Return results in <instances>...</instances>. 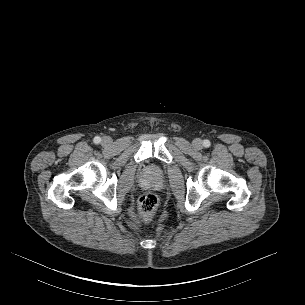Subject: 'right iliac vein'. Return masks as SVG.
<instances>
[{"label":"right iliac vein","instance_id":"right-iliac-vein-1","mask_svg":"<svg viewBox=\"0 0 305 305\" xmlns=\"http://www.w3.org/2000/svg\"><path fill=\"white\" fill-rule=\"evenodd\" d=\"M102 143H103L104 145H109V144L111 143V139H110L109 137H104V138L102 139Z\"/></svg>","mask_w":305,"mask_h":305}]
</instances>
